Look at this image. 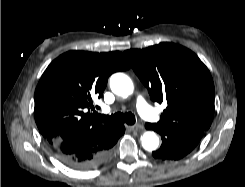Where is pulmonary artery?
<instances>
[{"instance_id": "pulmonary-artery-1", "label": "pulmonary artery", "mask_w": 245, "mask_h": 187, "mask_svg": "<svg viewBox=\"0 0 245 187\" xmlns=\"http://www.w3.org/2000/svg\"><path fill=\"white\" fill-rule=\"evenodd\" d=\"M136 107L139 114L146 120L156 121L159 119L157 113L149 106L142 96L136 99Z\"/></svg>"}]
</instances>
